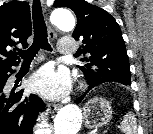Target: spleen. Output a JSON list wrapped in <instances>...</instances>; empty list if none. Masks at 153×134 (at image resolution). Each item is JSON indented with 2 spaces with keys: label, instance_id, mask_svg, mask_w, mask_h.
<instances>
[{
  "label": "spleen",
  "instance_id": "spleen-1",
  "mask_svg": "<svg viewBox=\"0 0 153 134\" xmlns=\"http://www.w3.org/2000/svg\"><path fill=\"white\" fill-rule=\"evenodd\" d=\"M120 130L124 134H136L137 125L134 114L132 112H128L121 122Z\"/></svg>",
  "mask_w": 153,
  "mask_h": 134
}]
</instances>
